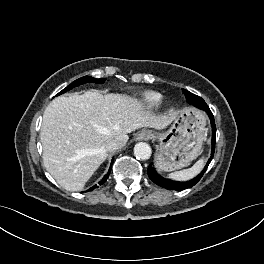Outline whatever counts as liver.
Returning <instances> with one entry per match:
<instances>
[{
  "label": "liver",
  "mask_w": 264,
  "mask_h": 264,
  "mask_svg": "<svg viewBox=\"0 0 264 264\" xmlns=\"http://www.w3.org/2000/svg\"><path fill=\"white\" fill-rule=\"evenodd\" d=\"M177 113L155 116L135 98L121 94L59 96L43 114L40 140L43 163L52 177L68 191H80L107 159V144L122 146L128 133L142 127L166 128Z\"/></svg>",
  "instance_id": "1"
}]
</instances>
